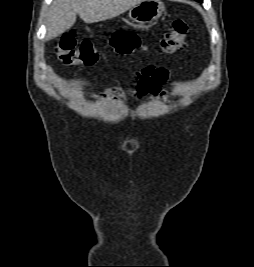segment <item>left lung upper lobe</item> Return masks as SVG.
Returning a JSON list of instances; mask_svg holds the SVG:
<instances>
[{"instance_id":"left-lung-upper-lobe-1","label":"left lung upper lobe","mask_w":254,"mask_h":267,"mask_svg":"<svg viewBox=\"0 0 254 267\" xmlns=\"http://www.w3.org/2000/svg\"><path fill=\"white\" fill-rule=\"evenodd\" d=\"M196 1H198V2H202V0H196Z\"/></svg>"}]
</instances>
